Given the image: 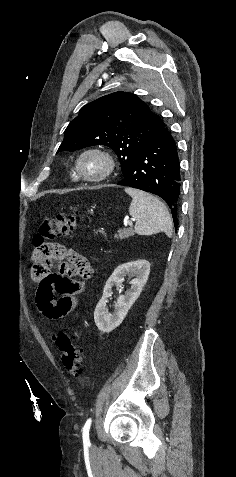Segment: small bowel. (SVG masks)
Masks as SVG:
<instances>
[{"instance_id":"obj_1","label":"small bowel","mask_w":236,"mask_h":477,"mask_svg":"<svg viewBox=\"0 0 236 477\" xmlns=\"http://www.w3.org/2000/svg\"><path fill=\"white\" fill-rule=\"evenodd\" d=\"M50 246L55 248L57 253L42 262L41 276H33L39 285L35 298L37 309L50 321L66 316L74 322L78 321L80 315L76 308L81 294L86 290L84 280L90 279L93 274L92 266L91 273L85 274L82 272V266L89 261L84 256L59 243H50ZM53 262L57 263V272L51 271L50 265ZM72 277H80L82 280L72 281ZM55 294L59 295L58 299L54 298Z\"/></svg>"}]
</instances>
